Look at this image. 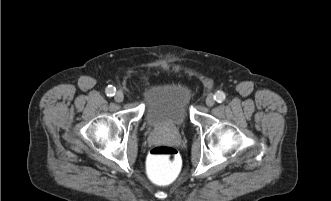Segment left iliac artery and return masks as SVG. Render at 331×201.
<instances>
[{"instance_id": "1", "label": "left iliac artery", "mask_w": 331, "mask_h": 201, "mask_svg": "<svg viewBox=\"0 0 331 201\" xmlns=\"http://www.w3.org/2000/svg\"><path fill=\"white\" fill-rule=\"evenodd\" d=\"M225 98H226V95L222 91H218L214 95V99L216 100V102H219V103L223 102L225 100Z\"/></svg>"}]
</instances>
